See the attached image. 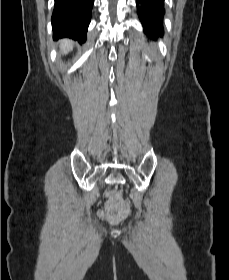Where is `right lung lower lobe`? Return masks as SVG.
<instances>
[{"label": "right lung lower lobe", "instance_id": "1", "mask_svg": "<svg viewBox=\"0 0 229 280\" xmlns=\"http://www.w3.org/2000/svg\"><path fill=\"white\" fill-rule=\"evenodd\" d=\"M94 0H55L52 15L54 39L69 37L85 42Z\"/></svg>", "mask_w": 229, "mask_h": 280}]
</instances>
